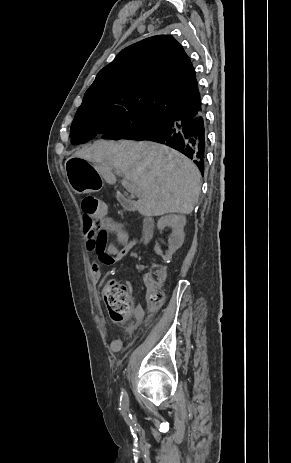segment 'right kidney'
Here are the masks:
<instances>
[{"mask_svg": "<svg viewBox=\"0 0 291 463\" xmlns=\"http://www.w3.org/2000/svg\"><path fill=\"white\" fill-rule=\"evenodd\" d=\"M185 224H186V217L183 215L170 214V215L163 216L158 220L157 227L160 230V233L165 227H169L172 229V233L169 239V249H168L167 254L163 256L165 260H169L172 254L176 252V250L182 246L184 242V238H185V234H184ZM155 250L159 254H162V251L158 244L155 246Z\"/></svg>", "mask_w": 291, "mask_h": 463, "instance_id": "right-kidney-1", "label": "right kidney"}]
</instances>
